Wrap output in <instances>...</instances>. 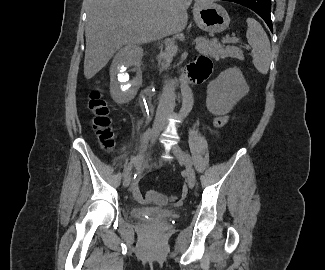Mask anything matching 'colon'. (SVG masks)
Masks as SVG:
<instances>
[{"mask_svg": "<svg viewBox=\"0 0 325 270\" xmlns=\"http://www.w3.org/2000/svg\"><path fill=\"white\" fill-rule=\"evenodd\" d=\"M89 108L93 114V128L96 130L103 148L110 150L114 145V134L110 127L109 111L106 102L98 90H94L89 96ZM173 197L163 195L154 190L146 193V201L164 205Z\"/></svg>", "mask_w": 325, "mask_h": 270, "instance_id": "5ec220e1", "label": "colon"}]
</instances>
